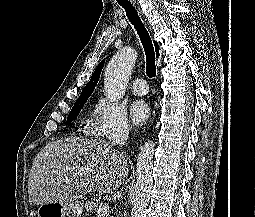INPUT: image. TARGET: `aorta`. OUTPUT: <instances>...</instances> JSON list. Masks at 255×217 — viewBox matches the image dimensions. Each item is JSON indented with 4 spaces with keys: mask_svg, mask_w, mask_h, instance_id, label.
<instances>
[{
    "mask_svg": "<svg viewBox=\"0 0 255 217\" xmlns=\"http://www.w3.org/2000/svg\"><path fill=\"white\" fill-rule=\"evenodd\" d=\"M136 58L137 53L131 47H124L112 57L104 75V95L108 99L117 101L124 96ZM154 146L152 141L145 142L137 157L136 193L132 203L131 217H143L150 200L153 187Z\"/></svg>",
    "mask_w": 255,
    "mask_h": 217,
    "instance_id": "1",
    "label": "aorta"
}]
</instances>
